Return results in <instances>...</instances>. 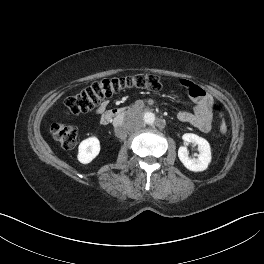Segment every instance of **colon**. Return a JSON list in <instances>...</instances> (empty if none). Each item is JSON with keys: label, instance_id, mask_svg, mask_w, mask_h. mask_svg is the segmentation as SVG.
<instances>
[{"label": "colon", "instance_id": "obj_1", "mask_svg": "<svg viewBox=\"0 0 264 264\" xmlns=\"http://www.w3.org/2000/svg\"><path fill=\"white\" fill-rule=\"evenodd\" d=\"M162 87L161 80L154 74H136L123 77L105 78L93 83L81 92L67 97L64 100V107L67 112L79 114L88 112L100 105L112 95L126 89H146L158 91ZM220 118V132L226 134L228 126L223 119L219 107L214 108ZM54 139L65 149L73 148L77 143L78 131L72 125L54 122L50 128Z\"/></svg>", "mask_w": 264, "mask_h": 264}]
</instances>
